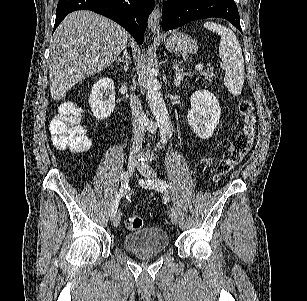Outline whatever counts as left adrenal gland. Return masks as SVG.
I'll use <instances>...</instances> for the list:
<instances>
[{
    "label": "left adrenal gland",
    "instance_id": "left-adrenal-gland-1",
    "mask_svg": "<svg viewBox=\"0 0 307 301\" xmlns=\"http://www.w3.org/2000/svg\"><path fill=\"white\" fill-rule=\"evenodd\" d=\"M172 68H174L175 76H174V84L176 86H180L181 80H183L184 76H190V72H184L183 68H181L178 62H173Z\"/></svg>",
    "mask_w": 307,
    "mask_h": 301
}]
</instances>
